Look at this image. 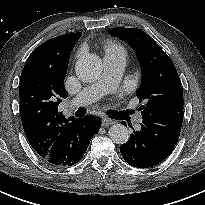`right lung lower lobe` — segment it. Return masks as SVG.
<instances>
[{"instance_id": "obj_1", "label": "right lung lower lobe", "mask_w": 205, "mask_h": 205, "mask_svg": "<svg viewBox=\"0 0 205 205\" xmlns=\"http://www.w3.org/2000/svg\"><path fill=\"white\" fill-rule=\"evenodd\" d=\"M100 120L91 116L68 123L43 158L55 166H72L82 159L92 137L98 132Z\"/></svg>"}]
</instances>
